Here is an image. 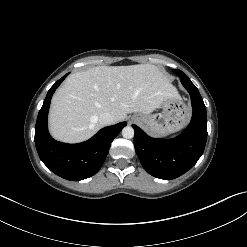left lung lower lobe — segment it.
Here are the masks:
<instances>
[{
	"label": "left lung lower lobe",
	"mask_w": 247,
	"mask_h": 247,
	"mask_svg": "<svg viewBox=\"0 0 247 247\" xmlns=\"http://www.w3.org/2000/svg\"><path fill=\"white\" fill-rule=\"evenodd\" d=\"M191 96L193 115L186 130L173 139H156L135 130L134 147L144 169L160 179H174L191 169L201 157L207 140V117L203 99L190 79L177 72Z\"/></svg>",
	"instance_id": "left-lung-lower-lobe-1"
}]
</instances>
